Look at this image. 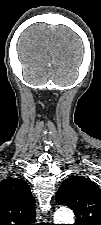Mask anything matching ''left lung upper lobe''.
<instances>
[{"label":"left lung upper lobe","mask_w":101,"mask_h":225,"mask_svg":"<svg viewBox=\"0 0 101 225\" xmlns=\"http://www.w3.org/2000/svg\"><path fill=\"white\" fill-rule=\"evenodd\" d=\"M56 201L74 211V225H101V190L89 179L78 175L67 178Z\"/></svg>","instance_id":"obj_1"}]
</instances>
